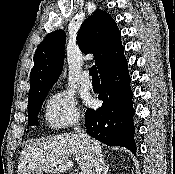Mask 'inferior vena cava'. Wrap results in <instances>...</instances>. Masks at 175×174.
<instances>
[{"instance_id":"1","label":"inferior vena cava","mask_w":175,"mask_h":174,"mask_svg":"<svg viewBox=\"0 0 175 174\" xmlns=\"http://www.w3.org/2000/svg\"><path fill=\"white\" fill-rule=\"evenodd\" d=\"M75 134L85 143L90 154L91 168L88 174H101L103 158L98 147L93 143L90 137L80 128V124L74 128Z\"/></svg>"}]
</instances>
